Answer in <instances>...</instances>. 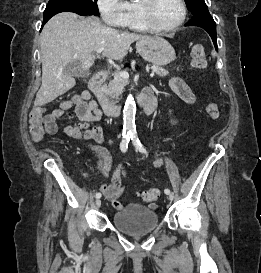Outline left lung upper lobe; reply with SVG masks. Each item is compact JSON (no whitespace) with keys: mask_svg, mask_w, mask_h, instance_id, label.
<instances>
[{"mask_svg":"<svg viewBox=\"0 0 261 273\" xmlns=\"http://www.w3.org/2000/svg\"><path fill=\"white\" fill-rule=\"evenodd\" d=\"M185 3L192 15L208 10L204 0H185Z\"/></svg>","mask_w":261,"mask_h":273,"instance_id":"obj_1","label":"left lung upper lobe"}]
</instances>
